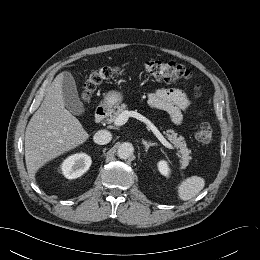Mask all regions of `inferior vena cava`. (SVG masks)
Listing matches in <instances>:
<instances>
[{
  "label": "inferior vena cava",
  "mask_w": 260,
  "mask_h": 260,
  "mask_svg": "<svg viewBox=\"0 0 260 260\" xmlns=\"http://www.w3.org/2000/svg\"><path fill=\"white\" fill-rule=\"evenodd\" d=\"M94 142L99 145H105L112 139V134L108 130H99L95 133Z\"/></svg>",
  "instance_id": "inferior-vena-cava-1"
}]
</instances>
